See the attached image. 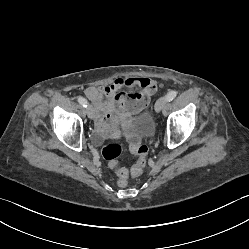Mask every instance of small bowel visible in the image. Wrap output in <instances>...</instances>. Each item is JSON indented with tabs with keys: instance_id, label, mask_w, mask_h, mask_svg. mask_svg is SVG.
<instances>
[{
	"instance_id": "1",
	"label": "small bowel",
	"mask_w": 249,
	"mask_h": 249,
	"mask_svg": "<svg viewBox=\"0 0 249 249\" xmlns=\"http://www.w3.org/2000/svg\"><path fill=\"white\" fill-rule=\"evenodd\" d=\"M140 88L142 91L126 93V88ZM156 91L155 83L148 78H118L105 86H89L86 96L92 101L98 112V131L100 135L108 133V125L116 124L120 114L144 109Z\"/></svg>"
}]
</instances>
